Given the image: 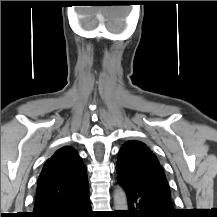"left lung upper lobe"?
Returning <instances> with one entry per match:
<instances>
[{"label": "left lung upper lobe", "mask_w": 217, "mask_h": 217, "mask_svg": "<svg viewBox=\"0 0 217 217\" xmlns=\"http://www.w3.org/2000/svg\"><path fill=\"white\" fill-rule=\"evenodd\" d=\"M118 178L125 184L171 198L163 167L155 154L139 141H127L119 150L116 165Z\"/></svg>", "instance_id": "obj_1"}]
</instances>
